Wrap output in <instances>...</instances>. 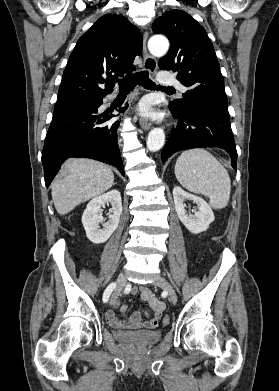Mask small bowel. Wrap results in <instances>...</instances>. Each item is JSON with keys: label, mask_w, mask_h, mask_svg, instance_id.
<instances>
[{"label": "small bowel", "mask_w": 279, "mask_h": 391, "mask_svg": "<svg viewBox=\"0 0 279 391\" xmlns=\"http://www.w3.org/2000/svg\"><path fill=\"white\" fill-rule=\"evenodd\" d=\"M131 293L136 294L140 293L141 298L148 304L152 315L150 316L148 313L146 316L148 317L147 320H143L140 317L139 312H135L129 320L122 321L118 319L115 315V312L113 309L108 310L105 314L106 320L108 323L117 329L120 328H127V329H141V328H147V329H153L156 328L159 325L161 314L165 309L164 303L159 300L149 289L147 288H137L133 287L131 289ZM114 308H119L121 312H125L126 306L124 304H121L120 301H117L113 304Z\"/></svg>", "instance_id": "obj_1"}]
</instances>
